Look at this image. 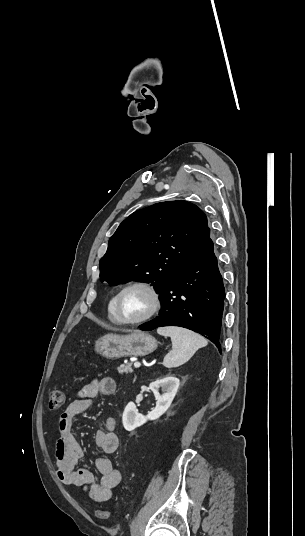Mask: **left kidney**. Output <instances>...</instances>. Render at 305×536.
<instances>
[{"mask_svg":"<svg viewBox=\"0 0 305 536\" xmlns=\"http://www.w3.org/2000/svg\"><path fill=\"white\" fill-rule=\"evenodd\" d=\"M179 384L180 382L178 378H175V376H170V374L165 376V378H162V380L152 382L149 388L152 390L156 400L154 410H152V412H148L147 416H142V414H139L137 406H135L133 402H129L122 416V422L125 430L132 432V430H135V428H139V426L145 424L147 420H157V418H160L162 414H165L166 410L170 408L177 394ZM159 388H162L163 394H159Z\"/></svg>","mask_w":305,"mask_h":536,"instance_id":"1","label":"left kidney"}]
</instances>
